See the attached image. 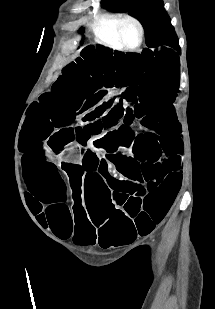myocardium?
<instances>
[{"mask_svg": "<svg viewBox=\"0 0 215 309\" xmlns=\"http://www.w3.org/2000/svg\"><path fill=\"white\" fill-rule=\"evenodd\" d=\"M117 24H116V33H117V40L119 41V43L122 44V48H139L142 44L143 41V27L141 25V23L134 17L130 16V15H122L121 19H117ZM126 24H130L132 26H134V28L137 31V42L132 45V46H126V42H124V38L121 35V29L123 28L124 25Z\"/></svg>", "mask_w": 215, "mask_h": 309, "instance_id": "f54148a6", "label": "myocardium"}]
</instances>
